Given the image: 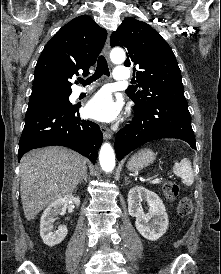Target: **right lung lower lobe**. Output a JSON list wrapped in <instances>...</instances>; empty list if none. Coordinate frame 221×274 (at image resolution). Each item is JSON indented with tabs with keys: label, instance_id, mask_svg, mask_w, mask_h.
<instances>
[{
	"label": "right lung lower lobe",
	"instance_id": "obj_1",
	"mask_svg": "<svg viewBox=\"0 0 221 274\" xmlns=\"http://www.w3.org/2000/svg\"><path fill=\"white\" fill-rule=\"evenodd\" d=\"M80 105L56 104L28 110L19 142L18 161L26 152L40 147H69L95 164L103 140L97 124L79 117Z\"/></svg>",
	"mask_w": 221,
	"mask_h": 274
}]
</instances>
